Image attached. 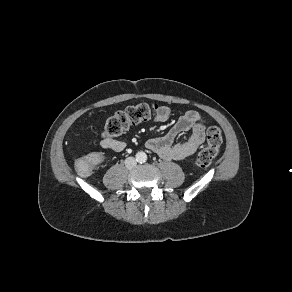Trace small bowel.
I'll use <instances>...</instances> for the list:
<instances>
[{"mask_svg": "<svg viewBox=\"0 0 292 292\" xmlns=\"http://www.w3.org/2000/svg\"><path fill=\"white\" fill-rule=\"evenodd\" d=\"M169 116L170 109L160 106L155 114V120L165 122ZM189 130L191 135L188 139L174 143L181 133ZM205 132L206 121L198 112L191 110L184 113L166 135L148 140L146 146L163 159L181 160L193 154L203 144ZM100 145L103 149L116 153L126 149L123 141L113 138H103Z\"/></svg>", "mask_w": 292, "mask_h": 292, "instance_id": "c3829d8e", "label": "small bowel"}]
</instances>
